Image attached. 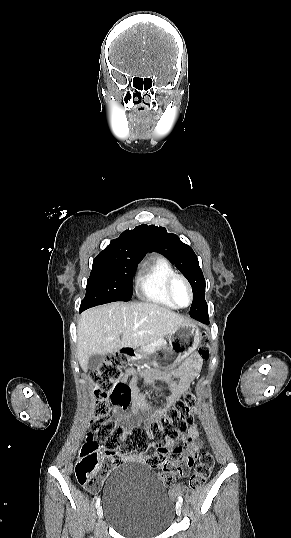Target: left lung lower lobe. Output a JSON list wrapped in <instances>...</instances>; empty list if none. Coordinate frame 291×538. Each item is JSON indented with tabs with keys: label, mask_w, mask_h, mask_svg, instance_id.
<instances>
[{
	"label": "left lung lower lobe",
	"mask_w": 291,
	"mask_h": 538,
	"mask_svg": "<svg viewBox=\"0 0 291 538\" xmlns=\"http://www.w3.org/2000/svg\"><path fill=\"white\" fill-rule=\"evenodd\" d=\"M191 317L202 323H209L208 310L205 307L200 308V310H196L194 313H192Z\"/></svg>",
	"instance_id": "1"
}]
</instances>
